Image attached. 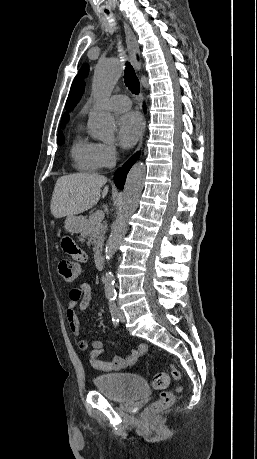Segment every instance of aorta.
<instances>
[{
	"mask_svg": "<svg viewBox=\"0 0 257 459\" xmlns=\"http://www.w3.org/2000/svg\"><path fill=\"white\" fill-rule=\"evenodd\" d=\"M122 72L118 59H108L97 64L92 81L93 94L98 105L91 111L88 119L90 134L103 142L114 139V117L102 107V102L112 93ZM146 167L142 162L136 163L130 169L123 191L116 220L112 224L111 234L106 242L105 258L109 261L117 251L128 229V222L135 212L144 186ZM105 295L108 298L115 296L114 276L106 271L104 278Z\"/></svg>",
	"mask_w": 257,
	"mask_h": 459,
	"instance_id": "obj_1",
	"label": "aorta"
}]
</instances>
